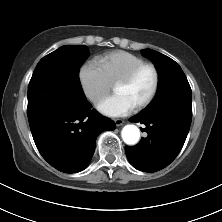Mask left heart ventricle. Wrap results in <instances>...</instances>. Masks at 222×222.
<instances>
[{"label": "left heart ventricle", "instance_id": "obj_1", "mask_svg": "<svg viewBox=\"0 0 222 222\" xmlns=\"http://www.w3.org/2000/svg\"><path fill=\"white\" fill-rule=\"evenodd\" d=\"M154 84V74L151 69H144L129 85H118L114 88L116 94L126 96L135 107L150 94Z\"/></svg>", "mask_w": 222, "mask_h": 222}]
</instances>
